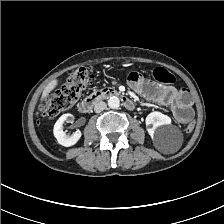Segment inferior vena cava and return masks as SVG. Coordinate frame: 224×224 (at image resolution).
Segmentation results:
<instances>
[{"label":"inferior vena cava","mask_w":224,"mask_h":224,"mask_svg":"<svg viewBox=\"0 0 224 224\" xmlns=\"http://www.w3.org/2000/svg\"><path fill=\"white\" fill-rule=\"evenodd\" d=\"M106 108H107L106 103L103 102V101H100V102H98V103L95 104V106H94V111H95L96 113H100V112H102L103 110H105Z\"/></svg>","instance_id":"602c4592"}]
</instances>
